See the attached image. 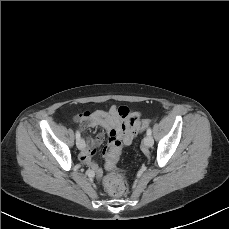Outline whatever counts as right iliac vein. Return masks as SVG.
Masks as SVG:
<instances>
[{"label":"right iliac vein","instance_id":"obj_1","mask_svg":"<svg viewBox=\"0 0 229 229\" xmlns=\"http://www.w3.org/2000/svg\"><path fill=\"white\" fill-rule=\"evenodd\" d=\"M76 144H77L78 149L82 150V149L84 148V146H85V141H84V139L80 138V139L76 142Z\"/></svg>","mask_w":229,"mask_h":229}]
</instances>
